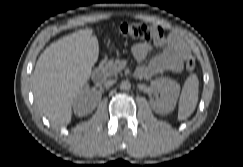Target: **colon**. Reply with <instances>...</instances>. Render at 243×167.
<instances>
[{
    "instance_id": "1",
    "label": "colon",
    "mask_w": 243,
    "mask_h": 167,
    "mask_svg": "<svg viewBox=\"0 0 243 167\" xmlns=\"http://www.w3.org/2000/svg\"><path fill=\"white\" fill-rule=\"evenodd\" d=\"M162 32L163 30L161 27H150L143 23L123 24L120 27V33L123 36L145 41H150ZM195 65L196 63L194 58L192 56H188L185 60V70L190 73L195 69Z\"/></svg>"
}]
</instances>
